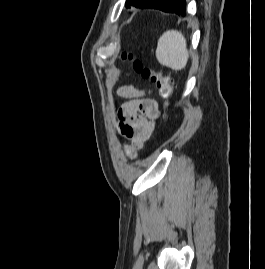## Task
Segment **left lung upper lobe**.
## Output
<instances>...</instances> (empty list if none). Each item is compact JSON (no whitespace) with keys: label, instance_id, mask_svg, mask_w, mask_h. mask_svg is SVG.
Returning <instances> with one entry per match:
<instances>
[{"label":"left lung upper lobe","instance_id":"5c2ea615","mask_svg":"<svg viewBox=\"0 0 265 269\" xmlns=\"http://www.w3.org/2000/svg\"><path fill=\"white\" fill-rule=\"evenodd\" d=\"M146 0H127L125 6L129 8L130 6L138 8Z\"/></svg>","mask_w":265,"mask_h":269}]
</instances>
